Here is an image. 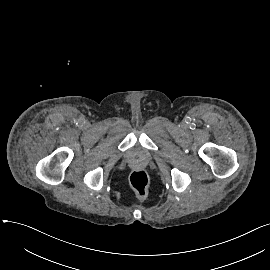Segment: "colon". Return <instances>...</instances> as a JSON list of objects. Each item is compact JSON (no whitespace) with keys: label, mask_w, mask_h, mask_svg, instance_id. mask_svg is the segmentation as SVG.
<instances>
[{"label":"colon","mask_w":270,"mask_h":270,"mask_svg":"<svg viewBox=\"0 0 270 270\" xmlns=\"http://www.w3.org/2000/svg\"><path fill=\"white\" fill-rule=\"evenodd\" d=\"M130 181L136 197L139 199L144 198L147 194L149 184L145 172L140 170L133 172Z\"/></svg>","instance_id":"obj_1"}]
</instances>
